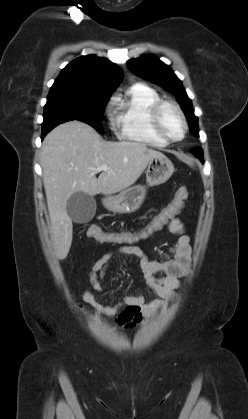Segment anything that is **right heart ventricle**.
<instances>
[{"label": "right heart ventricle", "mask_w": 248, "mask_h": 419, "mask_svg": "<svg viewBox=\"0 0 248 419\" xmlns=\"http://www.w3.org/2000/svg\"><path fill=\"white\" fill-rule=\"evenodd\" d=\"M160 99L151 87L136 83L115 99L114 122L118 136L127 141L143 143L154 147H164L167 143L152 130L149 110Z\"/></svg>", "instance_id": "right-heart-ventricle-1"}]
</instances>
